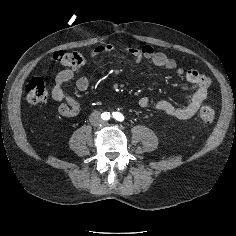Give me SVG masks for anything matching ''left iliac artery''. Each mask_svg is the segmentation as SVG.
<instances>
[{
  "label": "left iliac artery",
  "mask_w": 236,
  "mask_h": 236,
  "mask_svg": "<svg viewBox=\"0 0 236 236\" xmlns=\"http://www.w3.org/2000/svg\"><path fill=\"white\" fill-rule=\"evenodd\" d=\"M113 117L118 121H123L124 120V116L119 112H114Z\"/></svg>",
  "instance_id": "obj_1"
}]
</instances>
